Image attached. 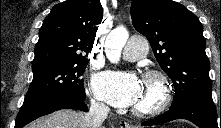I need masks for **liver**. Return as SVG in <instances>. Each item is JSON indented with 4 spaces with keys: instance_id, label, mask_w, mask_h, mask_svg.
<instances>
[{
    "instance_id": "liver-1",
    "label": "liver",
    "mask_w": 221,
    "mask_h": 128,
    "mask_svg": "<svg viewBox=\"0 0 221 128\" xmlns=\"http://www.w3.org/2000/svg\"><path fill=\"white\" fill-rule=\"evenodd\" d=\"M85 113L71 109H61L41 117L26 128H88Z\"/></svg>"
}]
</instances>
